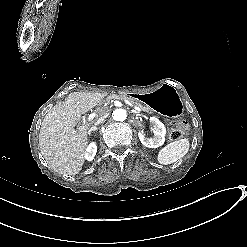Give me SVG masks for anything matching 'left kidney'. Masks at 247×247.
Instances as JSON below:
<instances>
[{
	"instance_id": "5707ae66",
	"label": "left kidney",
	"mask_w": 247,
	"mask_h": 247,
	"mask_svg": "<svg viewBox=\"0 0 247 247\" xmlns=\"http://www.w3.org/2000/svg\"><path fill=\"white\" fill-rule=\"evenodd\" d=\"M150 123L152 125L151 130L154 133V137L146 138L142 130L138 131V138L141 144L148 148H157L164 143L165 127L156 118H151Z\"/></svg>"
}]
</instances>
